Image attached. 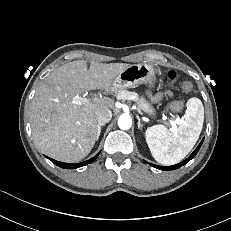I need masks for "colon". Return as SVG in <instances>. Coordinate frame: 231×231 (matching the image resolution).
I'll return each instance as SVG.
<instances>
[{"label": "colon", "instance_id": "5ec220e1", "mask_svg": "<svg viewBox=\"0 0 231 231\" xmlns=\"http://www.w3.org/2000/svg\"><path fill=\"white\" fill-rule=\"evenodd\" d=\"M177 78V74L174 71H169L167 73V79L171 82H174ZM179 90L182 92H189L192 89V84L188 81H182L178 85ZM183 108V102L180 100L173 101L170 104V110L173 112H178Z\"/></svg>", "mask_w": 231, "mask_h": 231}]
</instances>
